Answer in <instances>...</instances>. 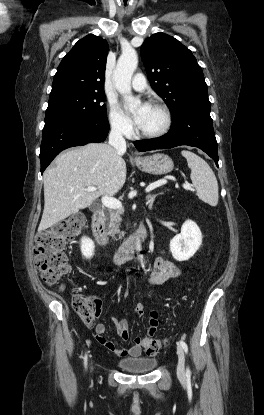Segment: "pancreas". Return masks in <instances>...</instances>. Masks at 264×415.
<instances>
[{"instance_id": "cf45deb5", "label": "pancreas", "mask_w": 264, "mask_h": 415, "mask_svg": "<svg viewBox=\"0 0 264 415\" xmlns=\"http://www.w3.org/2000/svg\"><path fill=\"white\" fill-rule=\"evenodd\" d=\"M121 214V210L109 211L105 223V229L108 235L115 236L116 234H119L121 237L122 232L119 230L120 222L122 221Z\"/></svg>"}]
</instances>
